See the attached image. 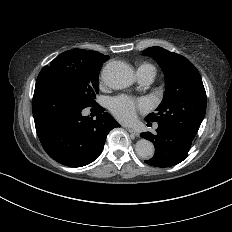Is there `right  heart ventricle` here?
I'll use <instances>...</instances> for the list:
<instances>
[{
  "mask_svg": "<svg viewBox=\"0 0 232 232\" xmlns=\"http://www.w3.org/2000/svg\"><path fill=\"white\" fill-rule=\"evenodd\" d=\"M145 68H149V69H152V68H150L149 66H147V67H145Z\"/></svg>",
  "mask_w": 232,
  "mask_h": 232,
  "instance_id": "right-heart-ventricle-1",
  "label": "right heart ventricle"
}]
</instances>
